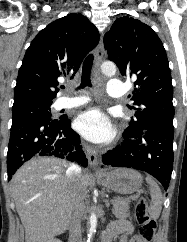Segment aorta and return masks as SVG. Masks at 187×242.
<instances>
[{"mask_svg": "<svg viewBox=\"0 0 187 242\" xmlns=\"http://www.w3.org/2000/svg\"><path fill=\"white\" fill-rule=\"evenodd\" d=\"M101 71L106 76H113L116 73V66L112 62H104L101 65ZM96 225H97V217H96L95 213H92L91 217H90V230H89V235H88V237H89L88 242H90L93 234L96 231Z\"/></svg>", "mask_w": 187, "mask_h": 242, "instance_id": "aorta-1", "label": "aorta"}]
</instances>
